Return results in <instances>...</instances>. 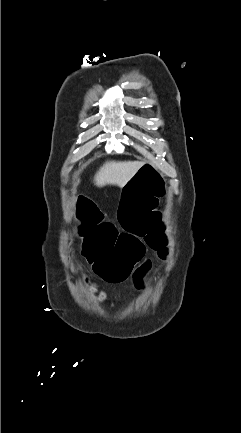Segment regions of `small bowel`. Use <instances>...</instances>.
<instances>
[{"instance_id":"obj_1","label":"small bowel","mask_w":241,"mask_h":433,"mask_svg":"<svg viewBox=\"0 0 241 433\" xmlns=\"http://www.w3.org/2000/svg\"><path fill=\"white\" fill-rule=\"evenodd\" d=\"M155 168V167H154ZM163 176V175H162ZM162 181H165V179H164V176H163V180ZM136 278H138V276L136 275ZM93 291H94V289H93ZM99 299L101 300V301H106L108 298H107V296H106V294L105 293H101V294H99Z\"/></svg>"}]
</instances>
